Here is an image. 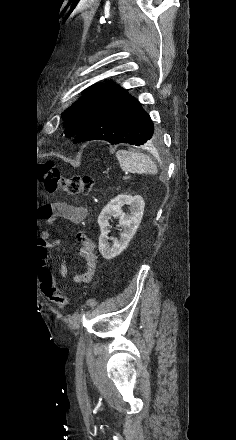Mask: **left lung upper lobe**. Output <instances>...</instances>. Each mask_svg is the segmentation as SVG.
<instances>
[{
	"label": "left lung upper lobe",
	"mask_w": 236,
	"mask_h": 440,
	"mask_svg": "<svg viewBox=\"0 0 236 440\" xmlns=\"http://www.w3.org/2000/svg\"><path fill=\"white\" fill-rule=\"evenodd\" d=\"M124 91L122 87L116 86L110 81L94 84L84 90L83 97L62 114L66 128L65 134L68 137L76 136L98 111Z\"/></svg>",
	"instance_id": "obj_1"
}]
</instances>
